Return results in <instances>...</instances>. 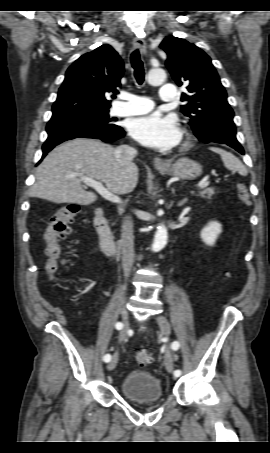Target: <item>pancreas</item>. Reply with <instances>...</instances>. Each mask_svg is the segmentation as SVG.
I'll return each mask as SVG.
<instances>
[{"label": "pancreas", "mask_w": 270, "mask_h": 453, "mask_svg": "<svg viewBox=\"0 0 270 453\" xmlns=\"http://www.w3.org/2000/svg\"><path fill=\"white\" fill-rule=\"evenodd\" d=\"M214 194H215L214 188H206L205 190L201 191L198 194V196L210 200Z\"/></svg>", "instance_id": "obj_1"}]
</instances>
